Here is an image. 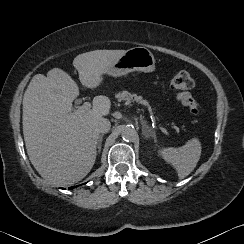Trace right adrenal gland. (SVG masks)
<instances>
[{"label": "right adrenal gland", "mask_w": 244, "mask_h": 244, "mask_svg": "<svg viewBox=\"0 0 244 244\" xmlns=\"http://www.w3.org/2000/svg\"><path fill=\"white\" fill-rule=\"evenodd\" d=\"M102 140H103V134L99 135V139H98V143H97L98 153L101 152Z\"/></svg>", "instance_id": "1"}]
</instances>
